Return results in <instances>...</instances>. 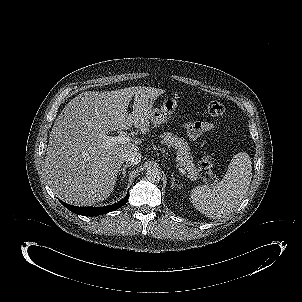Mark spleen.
I'll return each instance as SVG.
<instances>
[{"label":"spleen","instance_id":"1","mask_svg":"<svg viewBox=\"0 0 302 302\" xmlns=\"http://www.w3.org/2000/svg\"><path fill=\"white\" fill-rule=\"evenodd\" d=\"M251 160L247 153H238L215 186L199 185L192 189L190 200L195 209L210 218L229 215L247 193L252 178Z\"/></svg>","mask_w":302,"mask_h":302}]
</instances>
